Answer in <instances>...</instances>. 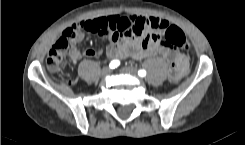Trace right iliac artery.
Instances as JSON below:
<instances>
[{
	"instance_id": "right-iliac-artery-1",
	"label": "right iliac artery",
	"mask_w": 245,
	"mask_h": 145,
	"mask_svg": "<svg viewBox=\"0 0 245 145\" xmlns=\"http://www.w3.org/2000/svg\"><path fill=\"white\" fill-rule=\"evenodd\" d=\"M120 65V62L118 61V60H112L110 63H109V67L111 68V69H113V68H115V67H117V66H119Z\"/></svg>"
}]
</instances>
